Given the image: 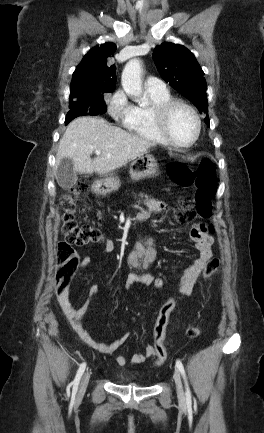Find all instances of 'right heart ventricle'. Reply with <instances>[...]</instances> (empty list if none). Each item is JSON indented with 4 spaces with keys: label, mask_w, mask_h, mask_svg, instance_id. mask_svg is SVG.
Returning a JSON list of instances; mask_svg holds the SVG:
<instances>
[{
    "label": "right heart ventricle",
    "mask_w": 264,
    "mask_h": 433,
    "mask_svg": "<svg viewBox=\"0 0 264 433\" xmlns=\"http://www.w3.org/2000/svg\"><path fill=\"white\" fill-rule=\"evenodd\" d=\"M150 98L149 106H134L132 117L124 124L125 127L134 135L152 142L167 144L161 136L153 115V109L172 100L168 91L163 93L150 92L147 90Z\"/></svg>",
    "instance_id": "e07e8e85"
}]
</instances>
